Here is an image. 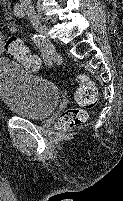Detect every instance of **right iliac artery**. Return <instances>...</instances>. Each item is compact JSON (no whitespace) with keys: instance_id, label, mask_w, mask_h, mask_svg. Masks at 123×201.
<instances>
[{"instance_id":"right-iliac-artery-1","label":"right iliac artery","mask_w":123,"mask_h":201,"mask_svg":"<svg viewBox=\"0 0 123 201\" xmlns=\"http://www.w3.org/2000/svg\"><path fill=\"white\" fill-rule=\"evenodd\" d=\"M14 15L19 17V18H24L25 16V11L22 5L20 4H15L14 6ZM32 40L34 43L38 46V48L41 50L43 59H45L46 63L48 66L52 65L51 62V52L48 49V47L44 44L42 36L37 35V34H32Z\"/></svg>"}]
</instances>
